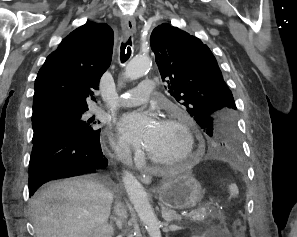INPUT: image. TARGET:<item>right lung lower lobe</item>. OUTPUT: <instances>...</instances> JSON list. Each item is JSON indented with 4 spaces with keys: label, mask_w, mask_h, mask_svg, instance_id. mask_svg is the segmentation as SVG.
<instances>
[{
    "label": "right lung lower lobe",
    "mask_w": 297,
    "mask_h": 237,
    "mask_svg": "<svg viewBox=\"0 0 297 237\" xmlns=\"http://www.w3.org/2000/svg\"><path fill=\"white\" fill-rule=\"evenodd\" d=\"M99 136L83 140L66 129L52 128L33 139L29 163V193L44 183L84 174L98 173L107 166Z\"/></svg>",
    "instance_id": "obj_1"
}]
</instances>
